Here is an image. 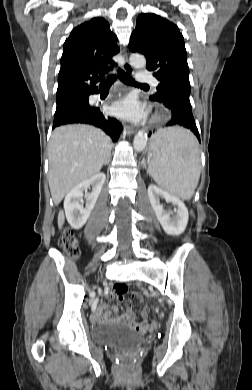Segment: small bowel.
Listing matches in <instances>:
<instances>
[{
  "mask_svg": "<svg viewBox=\"0 0 252 390\" xmlns=\"http://www.w3.org/2000/svg\"><path fill=\"white\" fill-rule=\"evenodd\" d=\"M117 296L120 301L124 299V295H119L113 291H110L107 294V297L112 298L114 296ZM140 302L143 304L140 316L141 321H137L136 315L131 308V306H128L125 313L122 315H118V307L108 306L105 303H101L98 308L97 312L93 313L91 316V319L93 322H115V323H121L126 324L133 330H136L138 332H146L150 328L148 316H149V308L148 306L143 302L142 298L139 299Z\"/></svg>",
  "mask_w": 252,
  "mask_h": 390,
  "instance_id": "obj_1",
  "label": "small bowel"
}]
</instances>
